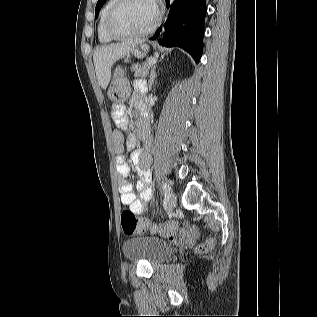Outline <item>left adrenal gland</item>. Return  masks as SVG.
I'll use <instances>...</instances> for the list:
<instances>
[{
  "mask_svg": "<svg viewBox=\"0 0 317 317\" xmlns=\"http://www.w3.org/2000/svg\"><path fill=\"white\" fill-rule=\"evenodd\" d=\"M157 77V73L155 72V66L153 67V69L151 70V74L149 77V90L152 89V86L154 84V80Z\"/></svg>",
  "mask_w": 317,
  "mask_h": 317,
  "instance_id": "obj_1",
  "label": "left adrenal gland"
}]
</instances>
